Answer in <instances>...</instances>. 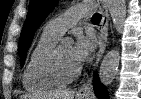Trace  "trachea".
Segmentation results:
<instances>
[{
  "instance_id": "3493384b",
  "label": "trachea",
  "mask_w": 141,
  "mask_h": 99,
  "mask_svg": "<svg viewBox=\"0 0 141 99\" xmlns=\"http://www.w3.org/2000/svg\"><path fill=\"white\" fill-rule=\"evenodd\" d=\"M92 21L93 22H96V23H99L101 21V15L99 13H95L93 16H92Z\"/></svg>"
}]
</instances>
